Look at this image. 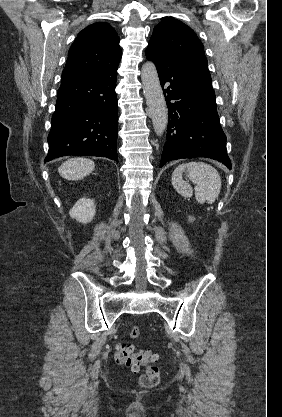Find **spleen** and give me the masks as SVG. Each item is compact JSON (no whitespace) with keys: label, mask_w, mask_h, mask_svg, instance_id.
Masks as SVG:
<instances>
[{"label":"spleen","mask_w":282,"mask_h":417,"mask_svg":"<svg viewBox=\"0 0 282 417\" xmlns=\"http://www.w3.org/2000/svg\"><path fill=\"white\" fill-rule=\"evenodd\" d=\"M183 172H187V176L196 184L195 196L200 204H204L206 200L208 204H212L218 198L221 190V176L214 166L207 162H184L172 172V184L175 190L185 198H191L193 190L190 184L183 180Z\"/></svg>","instance_id":"obj_1"}]
</instances>
